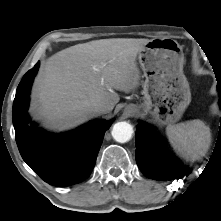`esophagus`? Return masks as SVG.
Masks as SVG:
<instances>
[{
    "mask_svg": "<svg viewBox=\"0 0 221 221\" xmlns=\"http://www.w3.org/2000/svg\"><path fill=\"white\" fill-rule=\"evenodd\" d=\"M126 115H127V116H131V114H130V113H126Z\"/></svg>",
    "mask_w": 221,
    "mask_h": 221,
    "instance_id": "34e87169",
    "label": "esophagus"
}]
</instances>
